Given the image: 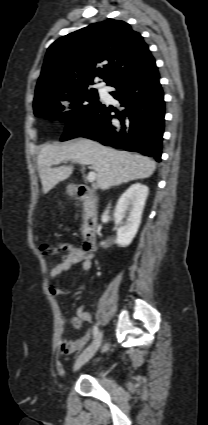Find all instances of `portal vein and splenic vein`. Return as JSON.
Listing matches in <instances>:
<instances>
[{"label":"portal vein and splenic vein","mask_w":208,"mask_h":425,"mask_svg":"<svg viewBox=\"0 0 208 425\" xmlns=\"http://www.w3.org/2000/svg\"><path fill=\"white\" fill-rule=\"evenodd\" d=\"M78 162L81 163V164H83V165H89L88 162L83 161V160H79ZM95 179H96V172L95 171H90L88 173V176H87L88 182L93 183L95 181Z\"/></svg>","instance_id":"18ae733b"}]
</instances>
